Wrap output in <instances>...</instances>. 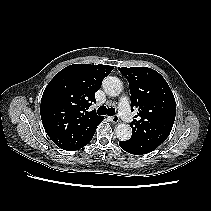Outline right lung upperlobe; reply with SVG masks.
Masks as SVG:
<instances>
[{"instance_id": "right-lung-upper-lobe-1", "label": "right lung upper lobe", "mask_w": 211, "mask_h": 211, "mask_svg": "<svg viewBox=\"0 0 211 211\" xmlns=\"http://www.w3.org/2000/svg\"><path fill=\"white\" fill-rule=\"evenodd\" d=\"M113 66L73 64L62 69L45 88L40 106L44 129L61 149L78 150L104 119L88 108Z\"/></svg>"}]
</instances>
